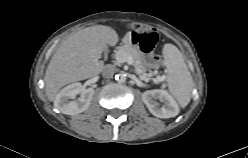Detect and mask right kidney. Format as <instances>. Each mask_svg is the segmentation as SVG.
<instances>
[{
	"instance_id": "right-kidney-1",
	"label": "right kidney",
	"mask_w": 248,
	"mask_h": 158,
	"mask_svg": "<svg viewBox=\"0 0 248 158\" xmlns=\"http://www.w3.org/2000/svg\"><path fill=\"white\" fill-rule=\"evenodd\" d=\"M80 94L77 100H73ZM94 90L92 88L82 89L81 83H73L63 88L55 99V107L67 115H76L88 109L92 100Z\"/></svg>"
}]
</instances>
